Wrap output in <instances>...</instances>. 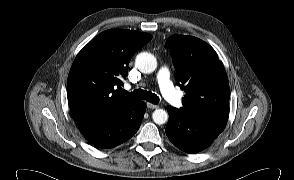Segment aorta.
Returning <instances> with one entry per match:
<instances>
[{"label":"aorta","mask_w":294,"mask_h":180,"mask_svg":"<svg viewBox=\"0 0 294 180\" xmlns=\"http://www.w3.org/2000/svg\"><path fill=\"white\" fill-rule=\"evenodd\" d=\"M136 66L142 73H152L157 68V60L153 54L141 52L136 57ZM152 118L156 124L161 125L167 122L168 113L163 109H156Z\"/></svg>","instance_id":"1"}]
</instances>
